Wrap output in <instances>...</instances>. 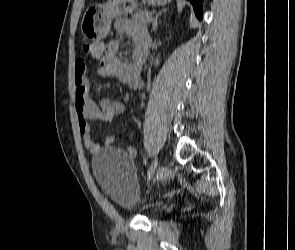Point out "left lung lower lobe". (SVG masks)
<instances>
[{"label": "left lung lower lobe", "mask_w": 295, "mask_h": 250, "mask_svg": "<svg viewBox=\"0 0 295 250\" xmlns=\"http://www.w3.org/2000/svg\"><path fill=\"white\" fill-rule=\"evenodd\" d=\"M195 10V14L198 17V19H202V0H189Z\"/></svg>", "instance_id": "left-lung-lower-lobe-1"}]
</instances>
